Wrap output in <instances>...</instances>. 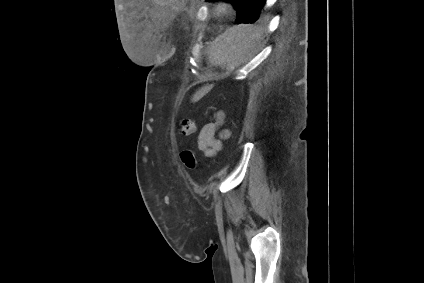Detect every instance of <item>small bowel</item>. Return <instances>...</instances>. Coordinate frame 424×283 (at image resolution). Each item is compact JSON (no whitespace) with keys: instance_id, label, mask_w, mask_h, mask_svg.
<instances>
[{"instance_id":"c3829d8e","label":"small bowel","mask_w":424,"mask_h":283,"mask_svg":"<svg viewBox=\"0 0 424 283\" xmlns=\"http://www.w3.org/2000/svg\"><path fill=\"white\" fill-rule=\"evenodd\" d=\"M223 119L224 113L222 111H216L213 121L204 125L199 133L198 148L203 151L206 156L212 157L222 148V142L216 137V133L223 124ZM228 136V131H221L222 138H227Z\"/></svg>"}]
</instances>
